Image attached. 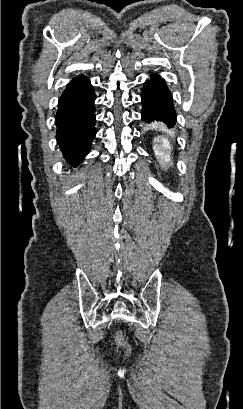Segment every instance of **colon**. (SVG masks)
Here are the masks:
<instances>
[{"label": "colon", "instance_id": "colon-1", "mask_svg": "<svg viewBox=\"0 0 243 409\" xmlns=\"http://www.w3.org/2000/svg\"><path fill=\"white\" fill-rule=\"evenodd\" d=\"M116 340L118 342V344L123 347L127 352L130 351L129 345L127 344V342L124 339V336L122 335L121 332H118L116 334Z\"/></svg>", "mask_w": 243, "mask_h": 409}]
</instances>
